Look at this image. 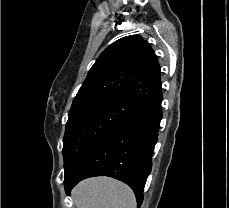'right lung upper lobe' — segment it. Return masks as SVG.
Instances as JSON below:
<instances>
[{
    "instance_id": "right-lung-upper-lobe-1",
    "label": "right lung upper lobe",
    "mask_w": 229,
    "mask_h": 208,
    "mask_svg": "<svg viewBox=\"0 0 229 208\" xmlns=\"http://www.w3.org/2000/svg\"><path fill=\"white\" fill-rule=\"evenodd\" d=\"M157 56L140 35L106 48L91 67L72 107L103 96H122L145 106L162 94Z\"/></svg>"
}]
</instances>
